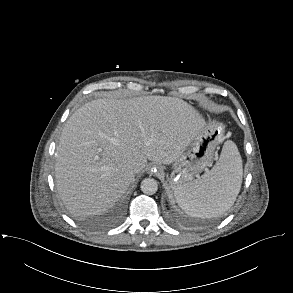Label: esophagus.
I'll list each match as a JSON object with an SVG mask.
<instances>
[{
  "label": "esophagus",
  "mask_w": 293,
  "mask_h": 293,
  "mask_svg": "<svg viewBox=\"0 0 293 293\" xmlns=\"http://www.w3.org/2000/svg\"><path fill=\"white\" fill-rule=\"evenodd\" d=\"M152 169H155V172H156V170H159L160 168L158 166L154 165Z\"/></svg>",
  "instance_id": "obj_1"
}]
</instances>
